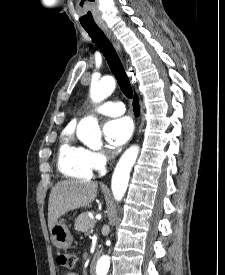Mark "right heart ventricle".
<instances>
[{"instance_id":"right-heart-ventricle-1","label":"right heart ventricle","mask_w":225,"mask_h":275,"mask_svg":"<svg viewBox=\"0 0 225 275\" xmlns=\"http://www.w3.org/2000/svg\"><path fill=\"white\" fill-rule=\"evenodd\" d=\"M69 135L64 139L58 153V168L66 176L89 179L94 170L89 165L85 149L74 146L69 141Z\"/></svg>"}]
</instances>
